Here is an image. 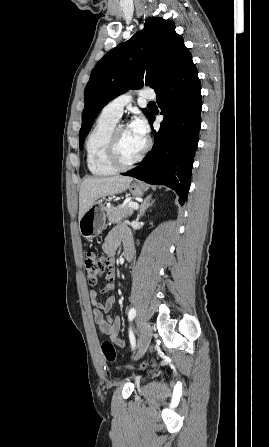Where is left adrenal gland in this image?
I'll use <instances>...</instances> for the list:
<instances>
[{
  "instance_id": "left-adrenal-gland-1",
  "label": "left adrenal gland",
  "mask_w": 269,
  "mask_h": 447,
  "mask_svg": "<svg viewBox=\"0 0 269 447\" xmlns=\"http://www.w3.org/2000/svg\"><path fill=\"white\" fill-rule=\"evenodd\" d=\"M151 196H152V194H150V196H147V198H145L144 202H142V204L139 208L138 218H141V216H144L145 210H147V208H149V206H152V204H154L155 200H152V202H150Z\"/></svg>"
}]
</instances>
